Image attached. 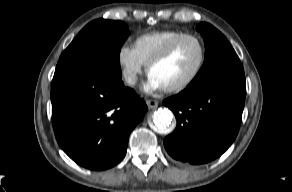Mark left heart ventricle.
<instances>
[{
	"mask_svg": "<svg viewBox=\"0 0 292 192\" xmlns=\"http://www.w3.org/2000/svg\"><path fill=\"white\" fill-rule=\"evenodd\" d=\"M200 59L198 44L191 39L183 41L173 54L150 70L163 87L175 85L186 79L196 68Z\"/></svg>",
	"mask_w": 292,
	"mask_h": 192,
	"instance_id": "left-heart-ventricle-1",
	"label": "left heart ventricle"
}]
</instances>
